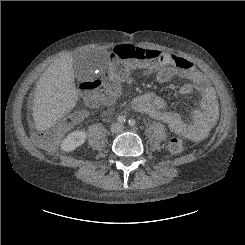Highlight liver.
I'll return each mask as SVG.
<instances>
[{
    "label": "liver",
    "instance_id": "obj_1",
    "mask_svg": "<svg viewBox=\"0 0 245 245\" xmlns=\"http://www.w3.org/2000/svg\"><path fill=\"white\" fill-rule=\"evenodd\" d=\"M74 76L73 57L66 54L55 60L39 78L33 105L38 131L51 128L74 107L78 98Z\"/></svg>",
    "mask_w": 245,
    "mask_h": 245
}]
</instances>
